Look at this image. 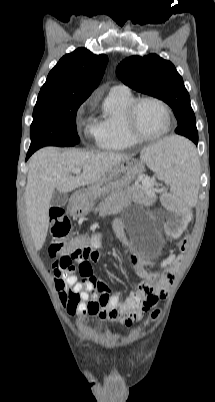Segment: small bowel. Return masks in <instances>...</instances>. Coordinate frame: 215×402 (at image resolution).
<instances>
[{"mask_svg": "<svg viewBox=\"0 0 215 402\" xmlns=\"http://www.w3.org/2000/svg\"><path fill=\"white\" fill-rule=\"evenodd\" d=\"M114 233L123 244L131 245L120 221L114 224ZM86 243L87 248L80 250L83 259L76 263L75 271L56 267L55 261L51 267L56 288L69 315L82 316L85 321L92 317L98 320L111 319L129 326L165 296L172 282L173 272L165 270L158 275H151L143 268L137 270L141 282L126 299L122 300L118 294H111L106 283L94 275L91 266V263L101 258L102 237L97 234ZM81 264H87L89 269L86 272L79 271Z\"/></svg>", "mask_w": 215, "mask_h": 402, "instance_id": "small-bowel-1", "label": "small bowel"}]
</instances>
